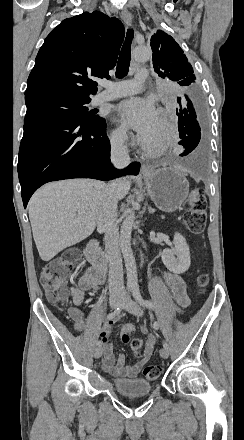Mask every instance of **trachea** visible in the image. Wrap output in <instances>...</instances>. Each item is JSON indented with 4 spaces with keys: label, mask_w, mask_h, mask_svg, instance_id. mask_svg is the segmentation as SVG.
Wrapping results in <instances>:
<instances>
[{
    "label": "trachea",
    "mask_w": 244,
    "mask_h": 440,
    "mask_svg": "<svg viewBox=\"0 0 244 440\" xmlns=\"http://www.w3.org/2000/svg\"><path fill=\"white\" fill-rule=\"evenodd\" d=\"M134 32L132 28H128L126 33V39L123 44L122 50L119 55L117 67H116V77L122 78L127 75L131 60V42L133 40Z\"/></svg>",
    "instance_id": "3493384b"
}]
</instances>
